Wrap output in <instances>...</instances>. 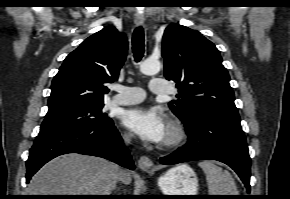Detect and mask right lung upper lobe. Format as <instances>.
<instances>
[{
    "label": "right lung upper lobe",
    "instance_id": "1",
    "mask_svg": "<svg viewBox=\"0 0 290 199\" xmlns=\"http://www.w3.org/2000/svg\"><path fill=\"white\" fill-rule=\"evenodd\" d=\"M127 55L126 35L105 27L64 60L51 85L48 113L103 102L107 83L118 79Z\"/></svg>",
    "mask_w": 290,
    "mask_h": 199
}]
</instances>
